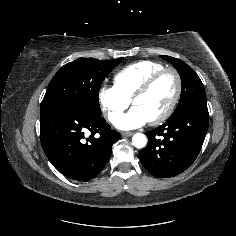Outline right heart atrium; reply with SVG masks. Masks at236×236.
Listing matches in <instances>:
<instances>
[{"instance_id":"obj_1","label":"right heart atrium","mask_w":236,"mask_h":236,"mask_svg":"<svg viewBox=\"0 0 236 236\" xmlns=\"http://www.w3.org/2000/svg\"><path fill=\"white\" fill-rule=\"evenodd\" d=\"M97 97L102 113L110 121H113L130 104V100L124 97L115 86H101Z\"/></svg>"}]
</instances>
